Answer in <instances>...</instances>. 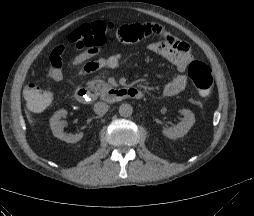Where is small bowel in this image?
Wrapping results in <instances>:
<instances>
[{"label":"small bowel","mask_w":254,"mask_h":216,"mask_svg":"<svg viewBox=\"0 0 254 216\" xmlns=\"http://www.w3.org/2000/svg\"><path fill=\"white\" fill-rule=\"evenodd\" d=\"M156 34H160L157 41L151 39ZM116 36L127 43L147 40L146 46L150 51L165 56L174 64L178 73L165 85L163 89L165 96H175L186 88L187 78L184 72L192 59V54L185 41L170 33H163L161 27L153 22L121 24L116 29ZM96 52L94 48H87L73 58L71 65L78 69V78L102 68L115 69L123 59L121 53L97 58ZM62 66V48L56 47L50 54V76L55 82H61L64 78Z\"/></svg>","instance_id":"obj_1"}]
</instances>
